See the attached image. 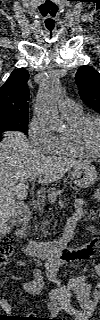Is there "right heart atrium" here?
Here are the masks:
<instances>
[{
	"label": "right heart atrium",
	"instance_id": "obj_1",
	"mask_svg": "<svg viewBox=\"0 0 100 320\" xmlns=\"http://www.w3.org/2000/svg\"><path fill=\"white\" fill-rule=\"evenodd\" d=\"M28 137L32 146L40 152H49L54 141L51 130L35 117L28 125Z\"/></svg>",
	"mask_w": 100,
	"mask_h": 320
}]
</instances>
